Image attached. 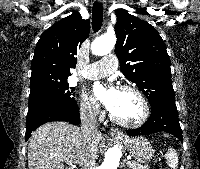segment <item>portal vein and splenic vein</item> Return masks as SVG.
I'll use <instances>...</instances> for the list:
<instances>
[{
    "label": "portal vein and splenic vein",
    "instance_id": "18ae733b",
    "mask_svg": "<svg viewBox=\"0 0 200 169\" xmlns=\"http://www.w3.org/2000/svg\"><path fill=\"white\" fill-rule=\"evenodd\" d=\"M130 162H131V161H129V160H128V162H127V163H128V164H130ZM72 163H73V162L69 161V164H72Z\"/></svg>",
    "mask_w": 200,
    "mask_h": 169
}]
</instances>
